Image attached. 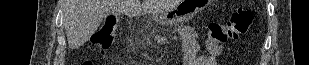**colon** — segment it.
Wrapping results in <instances>:
<instances>
[{"label": "colon", "instance_id": "obj_1", "mask_svg": "<svg viewBox=\"0 0 309 65\" xmlns=\"http://www.w3.org/2000/svg\"><path fill=\"white\" fill-rule=\"evenodd\" d=\"M254 20L251 9L239 8L233 12L228 23H209L206 26L209 41L224 43L244 36L250 29ZM117 30L114 20L107 21L92 41L94 48L104 55L113 45Z\"/></svg>", "mask_w": 309, "mask_h": 65}]
</instances>
